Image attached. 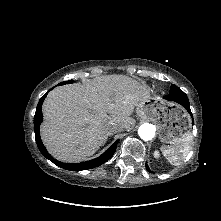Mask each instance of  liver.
Returning <instances> with one entry per match:
<instances>
[{
    "label": "liver",
    "mask_w": 221,
    "mask_h": 221,
    "mask_svg": "<svg viewBox=\"0 0 221 221\" xmlns=\"http://www.w3.org/2000/svg\"><path fill=\"white\" fill-rule=\"evenodd\" d=\"M148 96L139 82L116 74L57 87L43 103L42 141L58 160L83 161L104 144L109 122L126 129L133 126L130 116Z\"/></svg>",
    "instance_id": "1"
}]
</instances>
